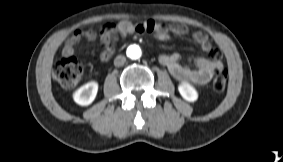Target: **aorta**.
Instances as JSON below:
<instances>
[{"label": "aorta", "mask_w": 283, "mask_h": 162, "mask_svg": "<svg viewBox=\"0 0 283 162\" xmlns=\"http://www.w3.org/2000/svg\"><path fill=\"white\" fill-rule=\"evenodd\" d=\"M127 56L133 60L139 59L141 56V49L136 45H132L127 49Z\"/></svg>", "instance_id": "obj_1"}]
</instances>
